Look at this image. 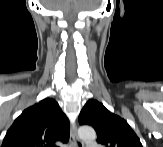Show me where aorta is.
I'll return each mask as SVG.
<instances>
[{"mask_svg":"<svg viewBox=\"0 0 163 147\" xmlns=\"http://www.w3.org/2000/svg\"><path fill=\"white\" fill-rule=\"evenodd\" d=\"M78 136L85 142H93L96 139V132L91 126H81L78 129Z\"/></svg>","mask_w":163,"mask_h":147,"instance_id":"obj_1","label":"aorta"}]
</instances>
